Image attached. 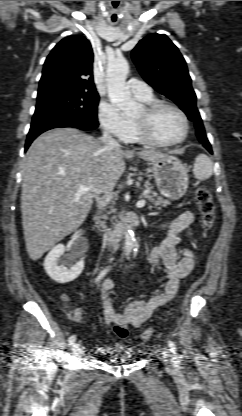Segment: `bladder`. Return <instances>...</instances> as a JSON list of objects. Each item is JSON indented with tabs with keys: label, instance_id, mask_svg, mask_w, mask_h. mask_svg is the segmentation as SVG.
I'll return each mask as SVG.
<instances>
[{
	"label": "bladder",
	"instance_id": "1",
	"mask_svg": "<svg viewBox=\"0 0 242 416\" xmlns=\"http://www.w3.org/2000/svg\"><path fill=\"white\" fill-rule=\"evenodd\" d=\"M110 358L112 359V363L115 364H122L129 361L123 346H120L116 352L112 353Z\"/></svg>",
	"mask_w": 242,
	"mask_h": 416
}]
</instances>
